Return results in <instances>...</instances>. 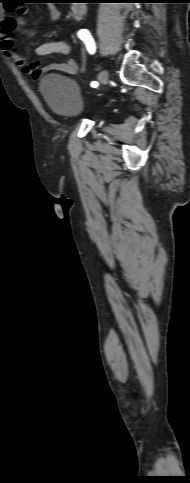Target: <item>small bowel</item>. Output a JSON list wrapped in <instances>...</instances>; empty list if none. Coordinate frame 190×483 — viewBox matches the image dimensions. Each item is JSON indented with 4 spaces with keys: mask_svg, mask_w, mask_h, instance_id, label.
Instances as JSON below:
<instances>
[{
    "mask_svg": "<svg viewBox=\"0 0 190 483\" xmlns=\"http://www.w3.org/2000/svg\"><path fill=\"white\" fill-rule=\"evenodd\" d=\"M50 16L53 20L59 18V10L56 6H50ZM27 12L26 7H19L14 16H8L4 18L1 23L0 29V43L4 53L12 60L15 66L23 69L25 73L30 75L34 80H38L44 73L60 71L69 76H73L78 71V66L73 59H67L62 62L50 64L46 67L41 66L39 60H34L27 64L25 60L17 55L14 51V39L12 32L16 29L21 30L29 36H33L36 30L27 26L24 16ZM71 52V46L61 40L47 41L35 49L37 56H46L50 54L69 55Z\"/></svg>",
    "mask_w": 190,
    "mask_h": 483,
    "instance_id": "obj_1",
    "label": "small bowel"
}]
</instances>
